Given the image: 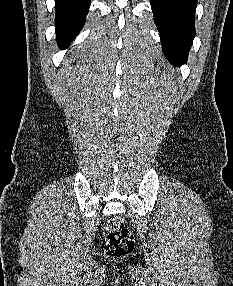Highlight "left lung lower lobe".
Masks as SVG:
<instances>
[{"label":"left lung lower lobe","mask_w":233,"mask_h":286,"mask_svg":"<svg viewBox=\"0 0 233 286\" xmlns=\"http://www.w3.org/2000/svg\"><path fill=\"white\" fill-rule=\"evenodd\" d=\"M150 4L165 56L176 66L184 64L195 36L197 0H150Z\"/></svg>","instance_id":"obj_1"}]
</instances>
